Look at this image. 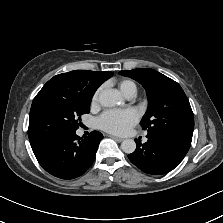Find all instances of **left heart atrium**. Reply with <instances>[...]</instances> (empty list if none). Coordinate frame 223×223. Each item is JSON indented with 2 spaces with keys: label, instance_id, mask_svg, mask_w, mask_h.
<instances>
[{
  "label": "left heart atrium",
  "instance_id": "obj_1",
  "mask_svg": "<svg viewBox=\"0 0 223 223\" xmlns=\"http://www.w3.org/2000/svg\"><path fill=\"white\" fill-rule=\"evenodd\" d=\"M139 120L138 112L133 108L109 109L97 118L100 129L113 133L124 134Z\"/></svg>",
  "mask_w": 223,
  "mask_h": 223
}]
</instances>
